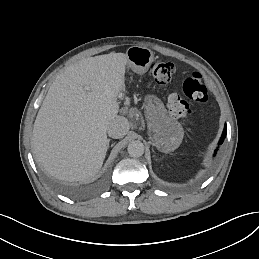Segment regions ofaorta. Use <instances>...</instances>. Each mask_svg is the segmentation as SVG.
<instances>
[{"label": "aorta", "mask_w": 259, "mask_h": 259, "mask_svg": "<svg viewBox=\"0 0 259 259\" xmlns=\"http://www.w3.org/2000/svg\"><path fill=\"white\" fill-rule=\"evenodd\" d=\"M127 150L131 157H140L144 153V144L139 140L131 141L128 144Z\"/></svg>", "instance_id": "1"}]
</instances>
